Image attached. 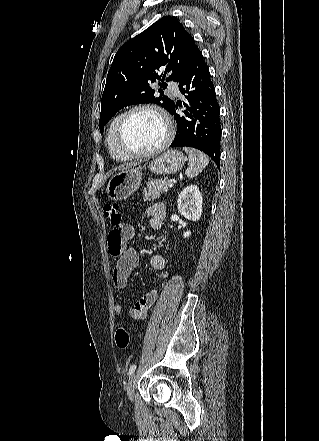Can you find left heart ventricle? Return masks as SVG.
Instances as JSON below:
<instances>
[{
    "label": "left heart ventricle",
    "mask_w": 319,
    "mask_h": 441,
    "mask_svg": "<svg viewBox=\"0 0 319 441\" xmlns=\"http://www.w3.org/2000/svg\"><path fill=\"white\" fill-rule=\"evenodd\" d=\"M165 137L161 118L150 111L132 114L122 131L123 145L133 152H144L158 146Z\"/></svg>",
    "instance_id": "left-heart-ventricle-1"
}]
</instances>
